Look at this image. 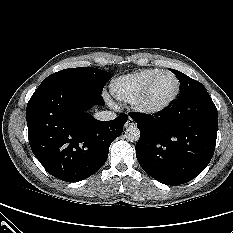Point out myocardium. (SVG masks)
Returning <instances> with one entry per match:
<instances>
[{
  "label": "myocardium",
  "instance_id": "f54148a6",
  "mask_svg": "<svg viewBox=\"0 0 233 233\" xmlns=\"http://www.w3.org/2000/svg\"><path fill=\"white\" fill-rule=\"evenodd\" d=\"M162 74H170L173 76L176 82V88L173 93V95L163 102L162 104L159 105H150L145 101L146 95L153 84V82ZM180 89H181V83L177 75L171 71V70H160L157 72L155 75H153L143 86V88L140 90V92L137 94V96L133 99L132 101V106L133 108L142 114L145 115H156L159 114L165 110H167L178 98L180 94Z\"/></svg>",
  "mask_w": 233,
  "mask_h": 233
}]
</instances>
